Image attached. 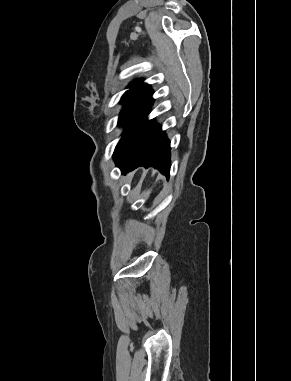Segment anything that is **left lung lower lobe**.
<instances>
[{"label":"left lung lower lobe","instance_id":"obj_1","mask_svg":"<svg viewBox=\"0 0 291 381\" xmlns=\"http://www.w3.org/2000/svg\"><path fill=\"white\" fill-rule=\"evenodd\" d=\"M152 103L153 99L122 137L113 157L123 173L139 166H153L169 177L170 141L159 125L146 118Z\"/></svg>","mask_w":291,"mask_h":381}]
</instances>
